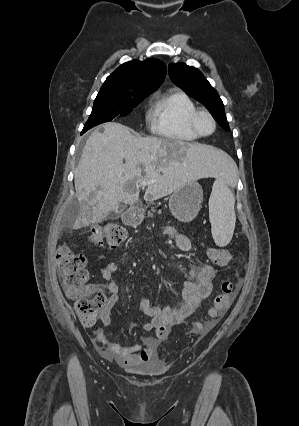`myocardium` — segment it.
<instances>
[{
  "label": "myocardium",
  "mask_w": 299,
  "mask_h": 426,
  "mask_svg": "<svg viewBox=\"0 0 299 426\" xmlns=\"http://www.w3.org/2000/svg\"><path fill=\"white\" fill-rule=\"evenodd\" d=\"M202 116L208 117L211 120V122H212L213 129H212V131L210 133H203L200 130V128H199L198 121H199L200 117H202ZM189 126H190L191 130L197 136H199V137H208V136H211L212 134L215 133L216 128H217V122H216L215 117L213 116V114L209 110L204 109V108H197L191 114V116L189 118Z\"/></svg>",
  "instance_id": "myocardium-1"
}]
</instances>
